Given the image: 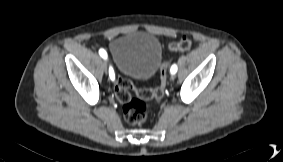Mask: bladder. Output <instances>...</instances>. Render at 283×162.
Masks as SVG:
<instances>
[{
  "label": "bladder",
  "instance_id": "obj_1",
  "mask_svg": "<svg viewBox=\"0 0 283 162\" xmlns=\"http://www.w3.org/2000/svg\"><path fill=\"white\" fill-rule=\"evenodd\" d=\"M116 69L139 81L151 79L162 62V47L158 38L146 32L123 34L110 43Z\"/></svg>",
  "mask_w": 283,
  "mask_h": 162
}]
</instances>
